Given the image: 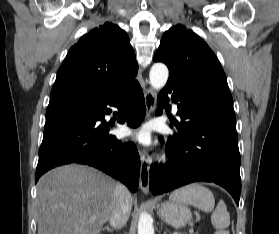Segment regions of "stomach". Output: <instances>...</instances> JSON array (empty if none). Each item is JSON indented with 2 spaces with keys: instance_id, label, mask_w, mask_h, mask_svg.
<instances>
[{
  "instance_id": "0dacf381",
  "label": "stomach",
  "mask_w": 279,
  "mask_h": 234,
  "mask_svg": "<svg viewBox=\"0 0 279 234\" xmlns=\"http://www.w3.org/2000/svg\"><path fill=\"white\" fill-rule=\"evenodd\" d=\"M157 214L167 224L175 227H184L192 218L190 209L181 202L168 201L157 206Z\"/></svg>"
}]
</instances>
